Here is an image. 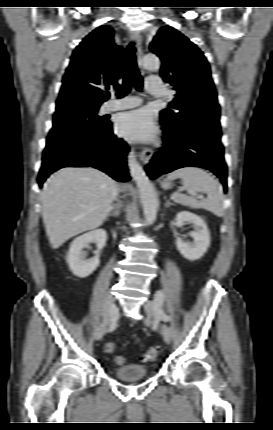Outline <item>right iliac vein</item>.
<instances>
[{
    "mask_svg": "<svg viewBox=\"0 0 273 430\" xmlns=\"http://www.w3.org/2000/svg\"><path fill=\"white\" fill-rule=\"evenodd\" d=\"M118 313V308L116 304L114 303V297L111 293H109L107 297V307L105 309V312L103 314V320L100 326L95 330L94 332V339L100 340L102 336L104 335V332L106 328L112 324V321L114 317Z\"/></svg>",
    "mask_w": 273,
    "mask_h": 430,
    "instance_id": "right-iliac-vein-1",
    "label": "right iliac vein"
}]
</instances>
